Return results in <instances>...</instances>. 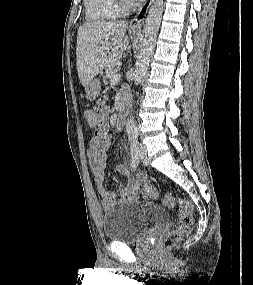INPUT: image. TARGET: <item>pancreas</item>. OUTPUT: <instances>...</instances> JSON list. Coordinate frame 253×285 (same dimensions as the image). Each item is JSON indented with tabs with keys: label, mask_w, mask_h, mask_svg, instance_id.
<instances>
[{
	"label": "pancreas",
	"mask_w": 253,
	"mask_h": 285,
	"mask_svg": "<svg viewBox=\"0 0 253 285\" xmlns=\"http://www.w3.org/2000/svg\"><path fill=\"white\" fill-rule=\"evenodd\" d=\"M119 72V67L115 64L109 65L104 72L103 82L105 85L108 84V80L112 79V77Z\"/></svg>",
	"instance_id": "1"
}]
</instances>
